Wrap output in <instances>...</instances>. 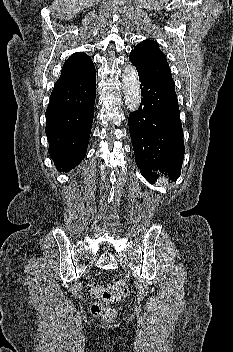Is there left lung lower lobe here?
<instances>
[{"instance_id": "0a47b994", "label": "left lung lower lobe", "mask_w": 233, "mask_h": 352, "mask_svg": "<svg viewBox=\"0 0 233 352\" xmlns=\"http://www.w3.org/2000/svg\"><path fill=\"white\" fill-rule=\"evenodd\" d=\"M141 104L128 123L138 168L149 181L156 171L176 181L184 159V141L175 87L137 69Z\"/></svg>"}]
</instances>
